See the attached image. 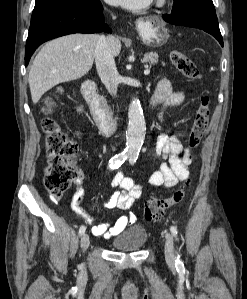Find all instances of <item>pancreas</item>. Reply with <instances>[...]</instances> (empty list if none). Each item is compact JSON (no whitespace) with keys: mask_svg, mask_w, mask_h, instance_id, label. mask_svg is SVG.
Masks as SVG:
<instances>
[{"mask_svg":"<svg viewBox=\"0 0 247 299\" xmlns=\"http://www.w3.org/2000/svg\"><path fill=\"white\" fill-rule=\"evenodd\" d=\"M143 61L150 65H155L158 62V54L152 52L147 53L144 55Z\"/></svg>","mask_w":247,"mask_h":299,"instance_id":"1","label":"pancreas"}]
</instances>
